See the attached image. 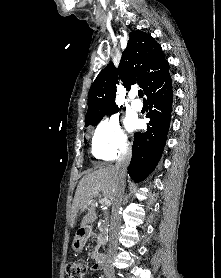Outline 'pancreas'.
Segmentation results:
<instances>
[{
	"instance_id": "1",
	"label": "pancreas",
	"mask_w": 221,
	"mask_h": 278,
	"mask_svg": "<svg viewBox=\"0 0 221 278\" xmlns=\"http://www.w3.org/2000/svg\"><path fill=\"white\" fill-rule=\"evenodd\" d=\"M98 227L100 228V234L97 237V246L95 248V253L98 251L101 245H105L107 234L109 233V230L106 229L104 225L100 224Z\"/></svg>"
}]
</instances>
